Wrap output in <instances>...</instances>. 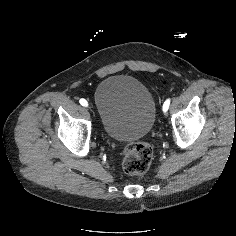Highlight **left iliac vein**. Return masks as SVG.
Returning a JSON list of instances; mask_svg holds the SVG:
<instances>
[{
  "mask_svg": "<svg viewBox=\"0 0 236 236\" xmlns=\"http://www.w3.org/2000/svg\"><path fill=\"white\" fill-rule=\"evenodd\" d=\"M161 114H162V116H163V118H168V110L167 109H163L162 111H161Z\"/></svg>",
  "mask_w": 236,
  "mask_h": 236,
  "instance_id": "obj_1",
  "label": "left iliac vein"
}]
</instances>
